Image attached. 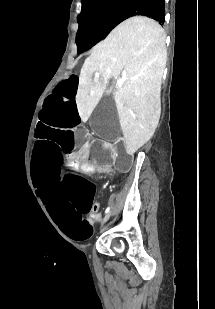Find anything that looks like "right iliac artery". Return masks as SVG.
I'll use <instances>...</instances> for the list:
<instances>
[{
    "label": "right iliac artery",
    "instance_id": "1",
    "mask_svg": "<svg viewBox=\"0 0 215 309\" xmlns=\"http://www.w3.org/2000/svg\"><path fill=\"white\" fill-rule=\"evenodd\" d=\"M109 210H110V207H108V208L106 209L105 213L107 214V213L109 212Z\"/></svg>",
    "mask_w": 215,
    "mask_h": 309
}]
</instances>
